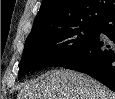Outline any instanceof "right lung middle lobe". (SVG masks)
I'll return each instance as SVG.
<instances>
[{
	"label": "right lung middle lobe",
	"mask_w": 115,
	"mask_h": 99,
	"mask_svg": "<svg viewBox=\"0 0 115 99\" xmlns=\"http://www.w3.org/2000/svg\"><path fill=\"white\" fill-rule=\"evenodd\" d=\"M99 23H79L42 35L28 37L19 64L25 73L45 67H63L76 59L96 37Z\"/></svg>",
	"instance_id": "right-lung-middle-lobe-1"
}]
</instances>
